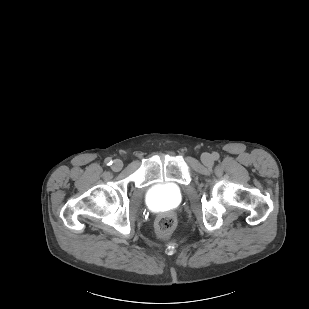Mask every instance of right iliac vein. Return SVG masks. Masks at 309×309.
I'll return each mask as SVG.
<instances>
[{
    "instance_id": "1",
    "label": "right iliac vein",
    "mask_w": 309,
    "mask_h": 309,
    "mask_svg": "<svg viewBox=\"0 0 309 309\" xmlns=\"http://www.w3.org/2000/svg\"><path fill=\"white\" fill-rule=\"evenodd\" d=\"M122 167H123V163L119 159L114 160L111 166L113 171H120Z\"/></svg>"
}]
</instances>
